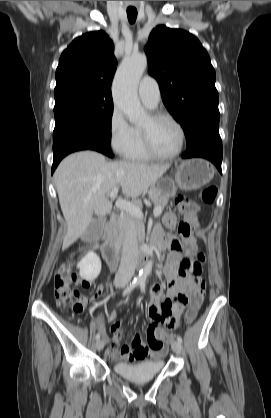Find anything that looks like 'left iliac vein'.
<instances>
[{"label":"left iliac vein","mask_w":271,"mask_h":418,"mask_svg":"<svg viewBox=\"0 0 271 418\" xmlns=\"http://www.w3.org/2000/svg\"><path fill=\"white\" fill-rule=\"evenodd\" d=\"M171 348L176 354H180L182 351V345L178 341H173L171 343Z\"/></svg>","instance_id":"obj_1"}]
</instances>
